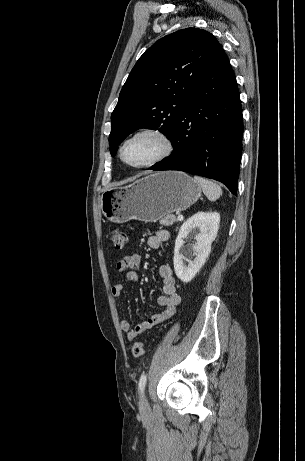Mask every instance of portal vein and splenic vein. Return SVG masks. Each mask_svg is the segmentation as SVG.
<instances>
[{
    "instance_id": "1",
    "label": "portal vein and splenic vein",
    "mask_w": 305,
    "mask_h": 461,
    "mask_svg": "<svg viewBox=\"0 0 305 461\" xmlns=\"http://www.w3.org/2000/svg\"><path fill=\"white\" fill-rule=\"evenodd\" d=\"M177 214H178V220L182 221L184 219L183 215H181L180 213H177Z\"/></svg>"
}]
</instances>
